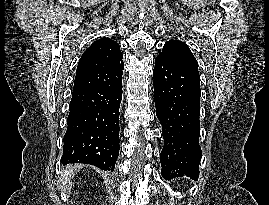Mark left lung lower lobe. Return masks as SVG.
Instances as JSON below:
<instances>
[{
	"instance_id": "1",
	"label": "left lung lower lobe",
	"mask_w": 269,
	"mask_h": 205,
	"mask_svg": "<svg viewBox=\"0 0 269 205\" xmlns=\"http://www.w3.org/2000/svg\"><path fill=\"white\" fill-rule=\"evenodd\" d=\"M156 115L164 146L160 154L164 178L198 179L202 157L200 134V76L197 68L157 56L153 70Z\"/></svg>"
}]
</instances>
